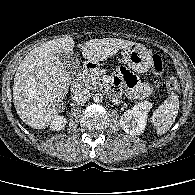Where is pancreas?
<instances>
[{"instance_id": "cf45deb5", "label": "pancreas", "mask_w": 195, "mask_h": 195, "mask_svg": "<svg viewBox=\"0 0 195 195\" xmlns=\"http://www.w3.org/2000/svg\"><path fill=\"white\" fill-rule=\"evenodd\" d=\"M104 73L103 70L97 69L91 73H86L82 76L80 84L90 90L102 89L101 76Z\"/></svg>"}]
</instances>
